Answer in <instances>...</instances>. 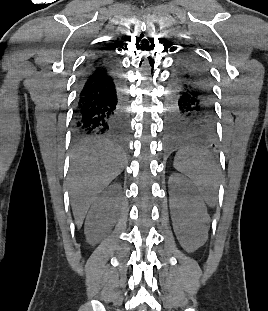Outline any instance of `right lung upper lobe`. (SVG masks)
I'll use <instances>...</instances> for the list:
<instances>
[{
	"instance_id": "obj_1",
	"label": "right lung upper lobe",
	"mask_w": 268,
	"mask_h": 311,
	"mask_svg": "<svg viewBox=\"0 0 268 311\" xmlns=\"http://www.w3.org/2000/svg\"><path fill=\"white\" fill-rule=\"evenodd\" d=\"M113 50V48H104L103 52L100 53L99 55H97L96 57H100V56H111L108 51Z\"/></svg>"
}]
</instances>
